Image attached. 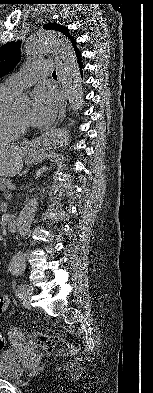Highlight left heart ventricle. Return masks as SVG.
I'll list each match as a JSON object with an SVG mask.
<instances>
[{
    "label": "left heart ventricle",
    "instance_id": "b2bd125f",
    "mask_svg": "<svg viewBox=\"0 0 153 393\" xmlns=\"http://www.w3.org/2000/svg\"><path fill=\"white\" fill-rule=\"evenodd\" d=\"M14 112L23 123L26 124L29 123V114H30L29 104H23L16 107Z\"/></svg>",
    "mask_w": 153,
    "mask_h": 393
}]
</instances>
